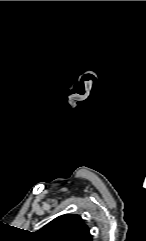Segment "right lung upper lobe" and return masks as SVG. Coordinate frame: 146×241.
Instances as JSON below:
<instances>
[{
  "label": "right lung upper lobe",
  "mask_w": 146,
  "mask_h": 241,
  "mask_svg": "<svg viewBox=\"0 0 146 241\" xmlns=\"http://www.w3.org/2000/svg\"><path fill=\"white\" fill-rule=\"evenodd\" d=\"M89 227L79 215H61L33 233L35 241H92Z\"/></svg>",
  "instance_id": "1"
}]
</instances>
